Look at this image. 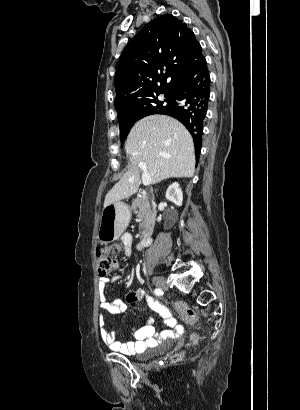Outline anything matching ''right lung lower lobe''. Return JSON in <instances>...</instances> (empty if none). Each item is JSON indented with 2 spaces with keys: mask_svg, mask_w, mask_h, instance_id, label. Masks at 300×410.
Masks as SVG:
<instances>
[{
  "mask_svg": "<svg viewBox=\"0 0 300 410\" xmlns=\"http://www.w3.org/2000/svg\"><path fill=\"white\" fill-rule=\"evenodd\" d=\"M210 94V77L203 57L182 75L172 92L173 101L159 110L158 114L172 116L183 123L191 133L198 160Z\"/></svg>",
  "mask_w": 300,
  "mask_h": 410,
  "instance_id": "1",
  "label": "right lung lower lobe"
}]
</instances>
